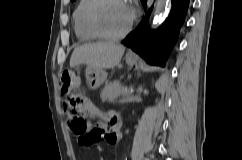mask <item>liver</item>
Instances as JSON below:
<instances>
[{
	"instance_id": "liver-1",
	"label": "liver",
	"mask_w": 242,
	"mask_h": 160,
	"mask_svg": "<svg viewBox=\"0 0 242 160\" xmlns=\"http://www.w3.org/2000/svg\"><path fill=\"white\" fill-rule=\"evenodd\" d=\"M125 47L111 42L85 44L74 49L70 67L86 64L87 68L113 69L119 65Z\"/></svg>"
}]
</instances>
